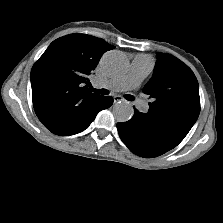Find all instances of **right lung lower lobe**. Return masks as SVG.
Segmentation results:
<instances>
[{"label": "right lung lower lobe", "mask_w": 223, "mask_h": 223, "mask_svg": "<svg viewBox=\"0 0 223 223\" xmlns=\"http://www.w3.org/2000/svg\"><path fill=\"white\" fill-rule=\"evenodd\" d=\"M112 102L113 101L111 98H100L95 108L92 109L90 116L84 121L82 125H80L79 127H76L75 129H72L71 131H67V132L54 131L53 133L62 135V136H68V135L77 134L85 130L90 125V123L94 120L96 114L99 111L108 108L112 104Z\"/></svg>", "instance_id": "98d812e1"}]
</instances>
